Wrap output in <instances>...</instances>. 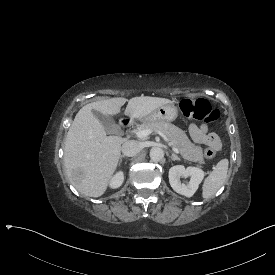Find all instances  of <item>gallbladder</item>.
I'll return each mask as SVG.
<instances>
[{
	"label": "gallbladder",
	"mask_w": 275,
	"mask_h": 275,
	"mask_svg": "<svg viewBox=\"0 0 275 275\" xmlns=\"http://www.w3.org/2000/svg\"><path fill=\"white\" fill-rule=\"evenodd\" d=\"M93 113L101 120L108 134H115L121 131V127L116 125L112 118H107L98 111H93Z\"/></svg>",
	"instance_id": "1"
}]
</instances>
